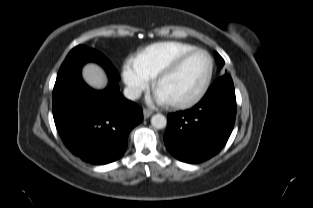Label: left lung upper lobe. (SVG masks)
Masks as SVG:
<instances>
[{
  "label": "left lung upper lobe",
  "mask_w": 313,
  "mask_h": 208,
  "mask_svg": "<svg viewBox=\"0 0 313 208\" xmlns=\"http://www.w3.org/2000/svg\"><path fill=\"white\" fill-rule=\"evenodd\" d=\"M215 58H216V61H217V64H218V68L221 69L223 67V65H224L223 58L216 52H215ZM226 75H228V74H226Z\"/></svg>",
  "instance_id": "5c2ea615"
}]
</instances>
